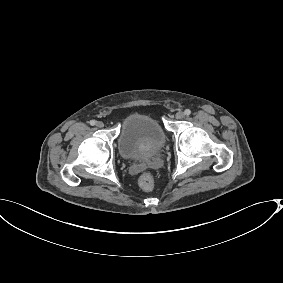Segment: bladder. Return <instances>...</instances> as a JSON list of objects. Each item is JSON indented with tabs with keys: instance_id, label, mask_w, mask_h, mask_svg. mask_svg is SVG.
<instances>
[{
	"instance_id": "1",
	"label": "bladder",
	"mask_w": 283,
	"mask_h": 283,
	"mask_svg": "<svg viewBox=\"0 0 283 283\" xmlns=\"http://www.w3.org/2000/svg\"><path fill=\"white\" fill-rule=\"evenodd\" d=\"M166 140L165 129L152 115L136 112L121 124L116 147L124 157L135 159L142 155H155Z\"/></svg>"
}]
</instances>
